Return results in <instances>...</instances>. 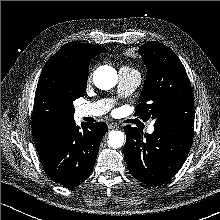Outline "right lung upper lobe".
<instances>
[{"instance_id":"1","label":"right lung upper lobe","mask_w":220,"mask_h":220,"mask_svg":"<svg viewBox=\"0 0 220 220\" xmlns=\"http://www.w3.org/2000/svg\"><path fill=\"white\" fill-rule=\"evenodd\" d=\"M105 51L102 46L70 42L48 60L35 94L34 142L74 121L68 87L70 84H87L90 60Z\"/></svg>"}]
</instances>
